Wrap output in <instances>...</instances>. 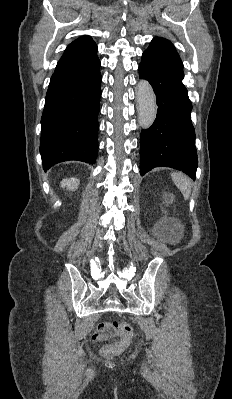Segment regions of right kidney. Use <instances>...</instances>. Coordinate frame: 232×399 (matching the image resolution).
<instances>
[{"label": "right kidney", "mask_w": 232, "mask_h": 399, "mask_svg": "<svg viewBox=\"0 0 232 399\" xmlns=\"http://www.w3.org/2000/svg\"><path fill=\"white\" fill-rule=\"evenodd\" d=\"M77 186H79V180L77 178H67V180H62L61 188H67V190H77Z\"/></svg>", "instance_id": "ca27d5eb"}]
</instances>
